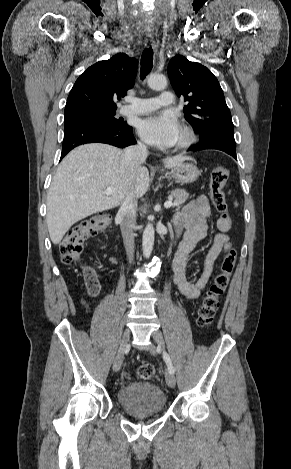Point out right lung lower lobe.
Segmentation results:
<instances>
[{
	"label": "right lung lower lobe",
	"mask_w": 291,
	"mask_h": 469,
	"mask_svg": "<svg viewBox=\"0 0 291 469\" xmlns=\"http://www.w3.org/2000/svg\"><path fill=\"white\" fill-rule=\"evenodd\" d=\"M86 143H106L124 148L136 144L132 127L126 123L104 124L95 121H75L65 124L61 159L73 148Z\"/></svg>",
	"instance_id": "right-lung-lower-lobe-1"
}]
</instances>
